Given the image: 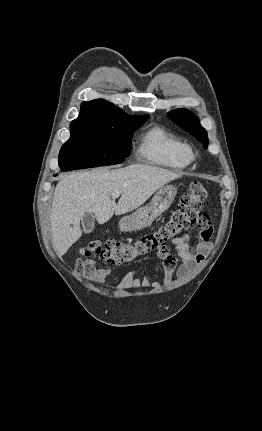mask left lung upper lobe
Wrapping results in <instances>:
<instances>
[{"mask_svg":"<svg viewBox=\"0 0 262 431\" xmlns=\"http://www.w3.org/2000/svg\"><path fill=\"white\" fill-rule=\"evenodd\" d=\"M168 116L184 130L190 132L198 141L207 148V132L200 125L198 118L186 109H177L168 113Z\"/></svg>","mask_w":262,"mask_h":431,"instance_id":"left-lung-upper-lobe-1","label":"left lung upper lobe"}]
</instances>
